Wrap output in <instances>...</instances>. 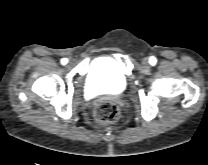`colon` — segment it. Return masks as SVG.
Instances as JSON below:
<instances>
[{
	"label": "colon",
	"instance_id": "colon-1",
	"mask_svg": "<svg viewBox=\"0 0 208 165\" xmlns=\"http://www.w3.org/2000/svg\"><path fill=\"white\" fill-rule=\"evenodd\" d=\"M93 113L95 120L100 125L107 126L118 119L119 108L114 102L103 100L96 104Z\"/></svg>",
	"mask_w": 208,
	"mask_h": 165
}]
</instances>
